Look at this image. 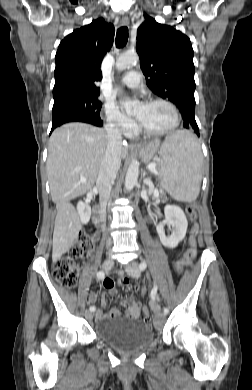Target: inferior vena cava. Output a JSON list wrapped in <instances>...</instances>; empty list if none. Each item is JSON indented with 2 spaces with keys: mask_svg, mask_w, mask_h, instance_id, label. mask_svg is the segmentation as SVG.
<instances>
[{
  "mask_svg": "<svg viewBox=\"0 0 252 390\" xmlns=\"http://www.w3.org/2000/svg\"><path fill=\"white\" fill-rule=\"evenodd\" d=\"M105 131L108 136V143L96 180V187L100 198V210L103 214L106 213L112 184L120 168L122 148L121 132L112 124L106 125Z\"/></svg>",
  "mask_w": 252,
  "mask_h": 390,
  "instance_id": "inferior-vena-cava-1",
  "label": "inferior vena cava"
}]
</instances>
